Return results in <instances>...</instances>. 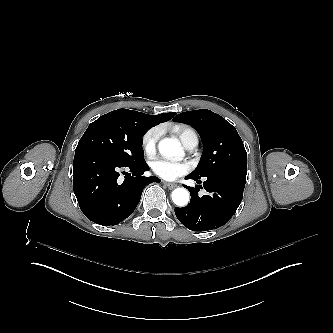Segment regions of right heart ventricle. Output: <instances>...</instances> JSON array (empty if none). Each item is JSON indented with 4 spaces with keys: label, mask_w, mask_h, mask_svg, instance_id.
I'll use <instances>...</instances> for the list:
<instances>
[{
    "label": "right heart ventricle",
    "mask_w": 333,
    "mask_h": 333,
    "mask_svg": "<svg viewBox=\"0 0 333 333\" xmlns=\"http://www.w3.org/2000/svg\"><path fill=\"white\" fill-rule=\"evenodd\" d=\"M190 131H193V130L190 129V128H185V129H182V130H178L176 132L177 136L180 138V140L183 142V144L185 143V138H186L187 133L190 132Z\"/></svg>",
    "instance_id": "e07e8e85"
}]
</instances>
